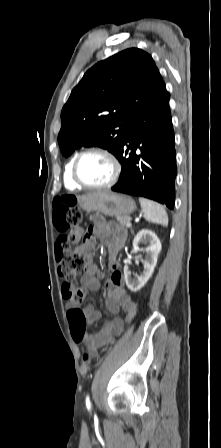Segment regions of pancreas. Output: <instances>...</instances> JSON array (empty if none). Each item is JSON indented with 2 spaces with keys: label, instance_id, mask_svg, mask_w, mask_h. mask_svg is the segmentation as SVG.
<instances>
[{
  "label": "pancreas",
  "instance_id": "pancreas-1",
  "mask_svg": "<svg viewBox=\"0 0 221 448\" xmlns=\"http://www.w3.org/2000/svg\"><path fill=\"white\" fill-rule=\"evenodd\" d=\"M116 219L121 226H125L131 220V217L130 216H117Z\"/></svg>",
  "mask_w": 221,
  "mask_h": 448
}]
</instances>
